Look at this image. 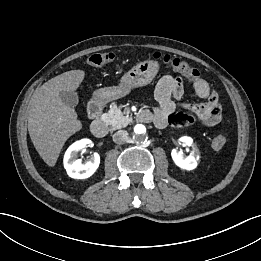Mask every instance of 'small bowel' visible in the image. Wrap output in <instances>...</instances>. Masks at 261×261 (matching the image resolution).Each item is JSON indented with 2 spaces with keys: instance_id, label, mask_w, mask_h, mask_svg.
<instances>
[{
  "instance_id": "c3829d8e",
  "label": "small bowel",
  "mask_w": 261,
  "mask_h": 261,
  "mask_svg": "<svg viewBox=\"0 0 261 261\" xmlns=\"http://www.w3.org/2000/svg\"><path fill=\"white\" fill-rule=\"evenodd\" d=\"M192 84L195 94L204 101L182 104L186 112H180L177 110V102L184 94L183 80L171 75L160 79L155 90L157 107L153 113L148 111L151 114L150 121H153L156 127L164 128L168 124L189 125L195 121L206 126H215L221 121V107L216 92L202 78L192 80Z\"/></svg>"
}]
</instances>
